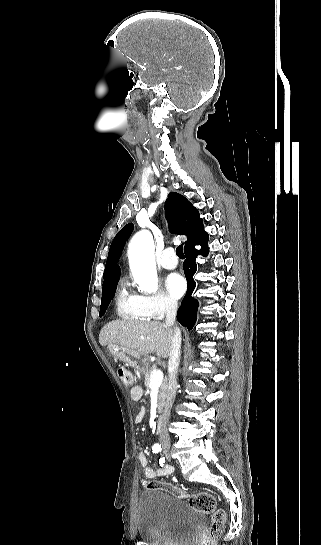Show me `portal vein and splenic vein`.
<instances>
[{
	"instance_id": "portal-vein-and-splenic-vein-1",
	"label": "portal vein and splenic vein",
	"mask_w": 321,
	"mask_h": 545,
	"mask_svg": "<svg viewBox=\"0 0 321 545\" xmlns=\"http://www.w3.org/2000/svg\"><path fill=\"white\" fill-rule=\"evenodd\" d=\"M161 383H163L162 371H159V369H156V371H152L150 377V387H160Z\"/></svg>"
}]
</instances>
